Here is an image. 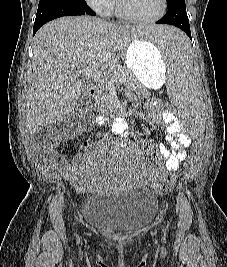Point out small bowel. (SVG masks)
Masks as SVG:
<instances>
[{
    "label": "small bowel",
    "instance_id": "small-bowel-1",
    "mask_svg": "<svg viewBox=\"0 0 227 267\" xmlns=\"http://www.w3.org/2000/svg\"><path fill=\"white\" fill-rule=\"evenodd\" d=\"M147 118L150 123L160 124L167 131L165 144L154 145V160L159 163L161 170L176 169L178 161H182L187 155V149L192 145L191 137H184L182 125L178 121L176 113H166L161 102L156 98L147 100ZM105 117L100 115L96 118L97 126H103ZM112 130L119 136H125L129 132L128 122L124 118H116L112 123ZM59 169L65 177L74 181L80 188H85L91 179V172L84 163H71L66 160L59 161Z\"/></svg>",
    "mask_w": 227,
    "mask_h": 267
}]
</instances>
